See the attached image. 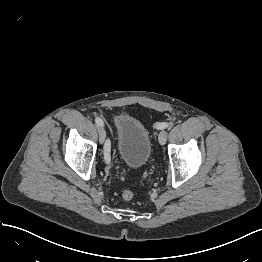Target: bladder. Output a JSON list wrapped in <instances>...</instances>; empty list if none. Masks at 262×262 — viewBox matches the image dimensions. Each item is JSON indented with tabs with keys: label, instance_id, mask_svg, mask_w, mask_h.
<instances>
[{
	"label": "bladder",
	"instance_id": "bladder-1",
	"mask_svg": "<svg viewBox=\"0 0 262 262\" xmlns=\"http://www.w3.org/2000/svg\"><path fill=\"white\" fill-rule=\"evenodd\" d=\"M117 154L130 168H141L149 160L152 144L144 125L131 115H120L115 120Z\"/></svg>",
	"mask_w": 262,
	"mask_h": 262
}]
</instances>
